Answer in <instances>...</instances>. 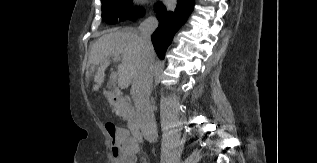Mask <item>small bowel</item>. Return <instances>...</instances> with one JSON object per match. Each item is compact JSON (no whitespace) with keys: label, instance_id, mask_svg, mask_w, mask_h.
Masks as SVG:
<instances>
[{"label":"small bowel","instance_id":"1","mask_svg":"<svg viewBox=\"0 0 317 163\" xmlns=\"http://www.w3.org/2000/svg\"><path fill=\"white\" fill-rule=\"evenodd\" d=\"M117 140L120 146V158L119 163H137L140 156V149L133 139L129 137L128 133L121 129L118 132ZM143 163H148L143 161Z\"/></svg>","mask_w":317,"mask_h":163}]
</instances>
